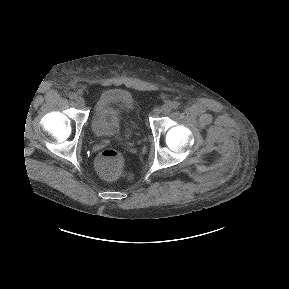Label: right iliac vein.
I'll use <instances>...</instances> for the list:
<instances>
[{
	"label": "right iliac vein",
	"instance_id": "1",
	"mask_svg": "<svg viewBox=\"0 0 289 289\" xmlns=\"http://www.w3.org/2000/svg\"><path fill=\"white\" fill-rule=\"evenodd\" d=\"M75 102L78 106H81V107L85 105V101L81 96H77L75 98Z\"/></svg>",
	"mask_w": 289,
	"mask_h": 289
}]
</instances>
